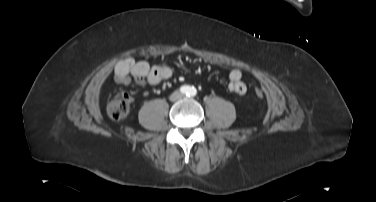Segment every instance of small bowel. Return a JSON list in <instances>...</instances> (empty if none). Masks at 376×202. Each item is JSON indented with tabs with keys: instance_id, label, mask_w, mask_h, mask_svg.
Masks as SVG:
<instances>
[{
	"instance_id": "c3829d8e",
	"label": "small bowel",
	"mask_w": 376,
	"mask_h": 202,
	"mask_svg": "<svg viewBox=\"0 0 376 202\" xmlns=\"http://www.w3.org/2000/svg\"><path fill=\"white\" fill-rule=\"evenodd\" d=\"M218 65H226V61L215 60ZM173 70L164 65H150L145 60H134L132 58L122 59L117 62L114 68V80L122 85L144 86L158 85L163 80L172 77ZM242 70L239 67L232 68L227 75L228 86L231 91L243 95L247 88L242 82ZM223 81V80H221Z\"/></svg>"
}]
</instances>
